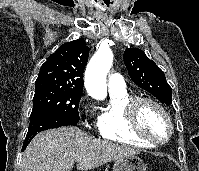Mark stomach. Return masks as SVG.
Segmentation results:
<instances>
[{"instance_id":"0dacf381","label":"stomach","mask_w":199,"mask_h":171,"mask_svg":"<svg viewBox=\"0 0 199 171\" xmlns=\"http://www.w3.org/2000/svg\"><path fill=\"white\" fill-rule=\"evenodd\" d=\"M113 171H146V165L136 155L124 156L115 161Z\"/></svg>"}]
</instances>
